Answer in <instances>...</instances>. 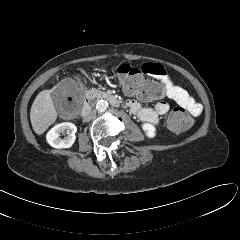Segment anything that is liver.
<instances>
[{
  "label": "liver",
  "mask_w": 240,
  "mask_h": 240,
  "mask_svg": "<svg viewBox=\"0 0 240 240\" xmlns=\"http://www.w3.org/2000/svg\"><path fill=\"white\" fill-rule=\"evenodd\" d=\"M52 91L53 89L41 91L31 106L30 121L34 132L38 135L43 134L57 118L51 97Z\"/></svg>",
  "instance_id": "1"
}]
</instances>
